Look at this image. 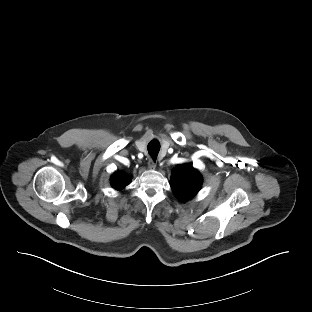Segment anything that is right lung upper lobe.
<instances>
[{"label":"right lung upper lobe","mask_w":312,"mask_h":312,"mask_svg":"<svg viewBox=\"0 0 312 312\" xmlns=\"http://www.w3.org/2000/svg\"><path fill=\"white\" fill-rule=\"evenodd\" d=\"M130 182V177L126 175L124 172L117 171L111 178L112 186L117 189L121 190Z\"/></svg>","instance_id":"cb5924a9"}]
</instances>
